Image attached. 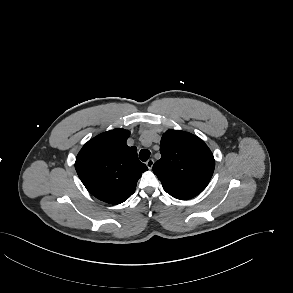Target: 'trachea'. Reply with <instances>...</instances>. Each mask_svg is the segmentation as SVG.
I'll use <instances>...</instances> for the list:
<instances>
[{"label":"trachea","instance_id":"3493384b","mask_svg":"<svg viewBox=\"0 0 293 293\" xmlns=\"http://www.w3.org/2000/svg\"><path fill=\"white\" fill-rule=\"evenodd\" d=\"M150 157V151L147 149H142L139 153V158L141 161L146 162Z\"/></svg>","mask_w":293,"mask_h":293}]
</instances>
